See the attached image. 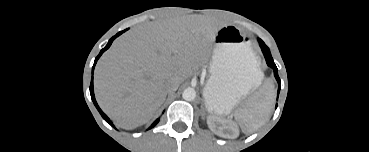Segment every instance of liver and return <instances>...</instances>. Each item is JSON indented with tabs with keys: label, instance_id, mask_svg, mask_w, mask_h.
I'll use <instances>...</instances> for the list:
<instances>
[{
	"label": "liver",
	"instance_id": "liver-1",
	"mask_svg": "<svg viewBox=\"0 0 369 152\" xmlns=\"http://www.w3.org/2000/svg\"><path fill=\"white\" fill-rule=\"evenodd\" d=\"M219 28L206 19L175 18L126 32L95 68L98 104L118 127L146 124L163 104L167 82L183 83L208 58Z\"/></svg>",
	"mask_w": 369,
	"mask_h": 152
}]
</instances>
